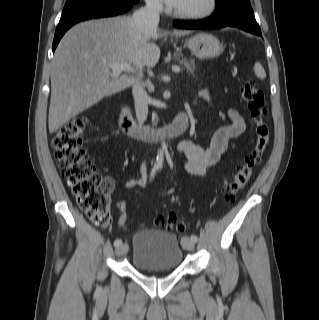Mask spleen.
Segmentation results:
<instances>
[{"label": "spleen", "instance_id": "obj_1", "mask_svg": "<svg viewBox=\"0 0 319 320\" xmlns=\"http://www.w3.org/2000/svg\"><path fill=\"white\" fill-rule=\"evenodd\" d=\"M254 71H255V75L259 78V79H265L266 78V73L265 70L263 68V66L259 63L256 62L254 65Z\"/></svg>", "mask_w": 319, "mask_h": 320}]
</instances>
